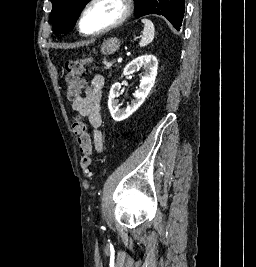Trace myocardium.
<instances>
[{"label": "myocardium", "instance_id": "1", "mask_svg": "<svg viewBox=\"0 0 256 267\" xmlns=\"http://www.w3.org/2000/svg\"><path fill=\"white\" fill-rule=\"evenodd\" d=\"M104 2H110V3L115 4L121 11L120 17L116 21H114L112 24H110L107 28L99 32H95V33L85 32L82 28V20H83L85 13L90 8L95 6L96 4L104 3ZM130 13H131V8L124 0H92L80 10L78 17H77V26H78L79 32L82 35L87 36V37H98V36L108 33L109 31L113 30L117 26L121 25L128 18Z\"/></svg>", "mask_w": 256, "mask_h": 267}]
</instances>
